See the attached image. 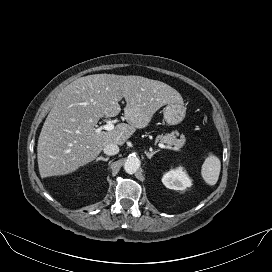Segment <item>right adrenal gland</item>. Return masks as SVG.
<instances>
[{"label":"right adrenal gland","instance_id":"right-adrenal-gland-1","mask_svg":"<svg viewBox=\"0 0 272 272\" xmlns=\"http://www.w3.org/2000/svg\"><path fill=\"white\" fill-rule=\"evenodd\" d=\"M100 160H103V161H108L109 160V157H106V158H104V157H102V156H100V157H98L97 159H96V161H100Z\"/></svg>","mask_w":272,"mask_h":272}]
</instances>
